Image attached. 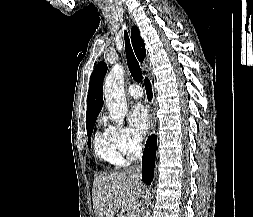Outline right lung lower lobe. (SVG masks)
Instances as JSON below:
<instances>
[{
  "label": "right lung lower lobe",
  "mask_w": 253,
  "mask_h": 217,
  "mask_svg": "<svg viewBox=\"0 0 253 217\" xmlns=\"http://www.w3.org/2000/svg\"><path fill=\"white\" fill-rule=\"evenodd\" d=\"M148 99L152 98L151 85L148 78L145 79ZM157 138L152 135L148 138L143 152L142 159V180L150 185L154 176L155 156H156Z\"/></svg>",
  "instance_id": "obj_1"
}]
</instances>
